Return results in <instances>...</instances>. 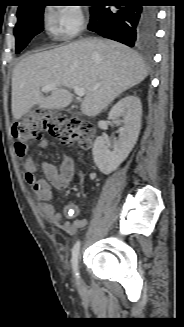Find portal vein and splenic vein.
I'll use <instances>...</instances> for the list:
<instances>
[{"label":"portal vein and splenic vein","instance_id":"1","mask_svg":"<svg viewBox=\"0 0 184 327\" xmlns=\"http://www.w3.org/2000/svg\"><path fill=\"white\" fill-rule=\"evenodd\" d=\"M55 89H57V85H55V84H49V85L43 86L41 88V91L42 92H50V91H53ZM73 89H74V92L76 93V95L78 97H83L85 95V89L84 88H81V87H78V86H74Z\"/></svg>","mask_w":184,"mask_h":327}]
</instances>
